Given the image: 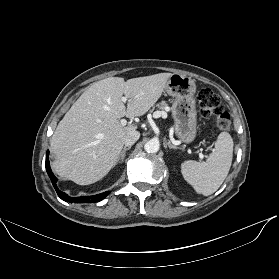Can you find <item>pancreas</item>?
<instances>
[{
	"label": "pancreas",
	"mask_w": 279,
	"mask_h": 279,
	"mask_svg": "<svg viewBox=\"0 0 279 279\" xmlns=\"http://www.w3.org/2000/svg\"><path fill=\"white\" fill-rule=\"evenodd\" d=\"M156 107L160 110H165L168 107V104L165 101H162L156 105Z\"/></svg>",
	"instance_id": "1"
}]
</instances>
